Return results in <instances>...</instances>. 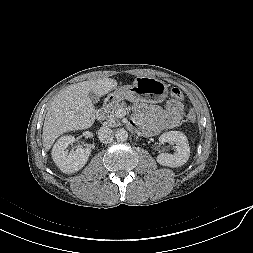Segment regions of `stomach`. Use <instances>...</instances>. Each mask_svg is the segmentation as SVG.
I'll return each mask as SVG.
<instances>
[{"instance_id":"0dacf381","label":"stomach","mask_w":253,"mask_h":253,"mask_svg":"<svg viewBox=\"0 0 253 253\" xmlns=\"http://www.w3.org/2000/svg\"><path fill=\"white\" fill-rule=\"evenodd\" d=\"M168 95V85L154 77H137L132 85L115 88L108 94L106 101L115 104L121 100L130 102H163Z\"/></svg>"}]
</instances>
